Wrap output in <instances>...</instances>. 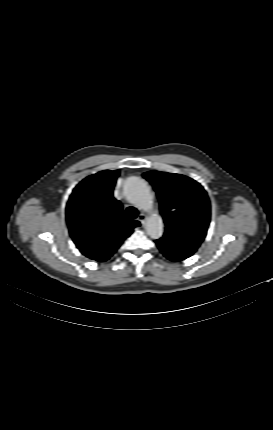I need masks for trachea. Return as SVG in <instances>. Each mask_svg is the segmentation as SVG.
Returning a JSON list of instances; mask_svg holds the SVG:
<instances>
[{"label": "trachea", "mask_w": 273, "mask_h": 430, "mask_svg": "<svg viewBox=\"0 0 273 430\" xmlns=\"http://www.w3.org/2000/svg\"><path fill=\"white\" fill-rule=\"evenodd\" d=\"M138 216V210L134 207H128L126 209L125 217L126 220L135 219Z\"/></svg>", "instance_id": "obj_1"}]
</instances>
